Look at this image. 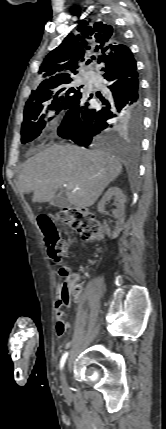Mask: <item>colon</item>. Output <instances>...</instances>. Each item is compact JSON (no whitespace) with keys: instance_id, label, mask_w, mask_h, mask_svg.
I'll return each instance as SVG.
<instances>
[{"instance_id":"1","label":"colon","mask_w":166,"mask_h":429,"mask_svg":"<svg viewBox=\"0 0 166 429\" xmlns=\"http://www.w3.org/2000/svg\"><path fill=\"white\" fill-rule=\"evenodd\" d=\"M57 220L76 230L85 240H96L102 236L99 221L87 209L75 207L62 208L57 213ZM38 224L44 235L49 257L56 262L61 261L66 255L67 248L53 220L46 215L39 216ZM63 289L66 293L73 292L75 295H78L81 290L71 279L64 282Z\"/></svg>"}]
</instances>
